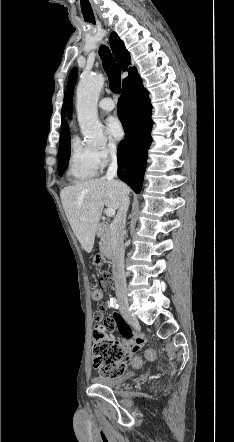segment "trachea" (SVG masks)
I'll return each instance as SVG.
<instances>
[{
    "mask_svg": "<svg viewBox=\"0 0 234 442\" xmlns=\"http://www.w3.org/2000/svg\"><path fill=\"white\" fill-rule=\"evenodd\" d=\"M99 55L102 60L103 68L108 76L111 91L120 94L121 70L113 58L110 49L105 45L100 46Z\"/></svg>",
    "mask_w": 234,
    "mask_h": 442,
    "instance_id": "trachea-1",
    "label": "trachea"
}]
</instances>
